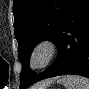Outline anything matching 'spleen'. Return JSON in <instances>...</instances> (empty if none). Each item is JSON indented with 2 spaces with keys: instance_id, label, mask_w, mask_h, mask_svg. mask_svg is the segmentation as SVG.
<instances>
[{
  "instance_id": "spleen-1",
  "label": "spleen",
  "mask_w": 89,
  "mask_h": 89,
  "mask_svg": "<svg viewBox=\"0 0 89 89\" xmlns=\"http://www.w3.org/2000/svg\"><path fill=\"white\" fill-rule=\"evenodd\" d=\"M65 89H89V80L82 76L66 75L60 79Z\"/></svg>"
}]
</instances>
